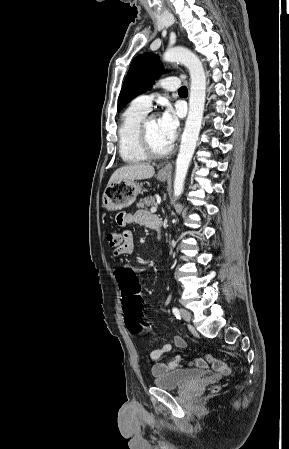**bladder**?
I'll list each match as a JSON object with an SVG mask.
<instances>
[{"label":"bladder","instance_id":"obj_1","mask_svg":"<svg viewBox=\"0 0 289 449\" xmlns=\"http://www.w3.org/2000/svg\"><path fill=\"white\" fill-rule=\"evenodd\" d=\"M207 374L203 369H175L155 376L153 383L157 388L173 390L185 387Z\"/></svg>","mask_w":289,"mask_h":449}]
</instances>
